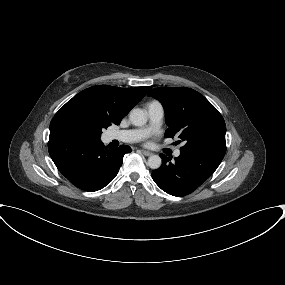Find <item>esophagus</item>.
Listing matches in <instances>:
<instances>
[{
    "instance_id": "34e87169",
    "label": "esophagus",
    "mask_w": 285,
    "mask_h": 285,
    "mask_svg": "<svg viewBox=\"0 0 285 285\" xmlns=\"http://www.w3.org/2000/svg\"><path fill=\"white\" fill-rule=\"evenodd\" d=\"M141 153L145 156H151L153 154L152 152L146 150H141Z\"/></svg>"
}]
</instances>
